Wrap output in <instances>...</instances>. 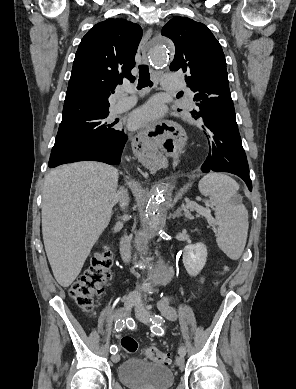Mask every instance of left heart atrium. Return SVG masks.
Returning <instances> with one entry per match:
<instances>
[{
  "label": "left heart atrium",
  "instance_id": "left-heart-atrium-1",
  "mask_svg": "<svg viewBox=\"0 0 296 389\" xmlns=\"http://www.w3.org/2000/svg\"><path fill=\"white\" fill-rule=\"evenodd\" d=\"M162 114L161 107L156 102H149L137 109L130 117V126L138 129L148 125Z\"/></svg>",
  "mask_w": 296,
  "mask_h": 389
}]
</instances>
